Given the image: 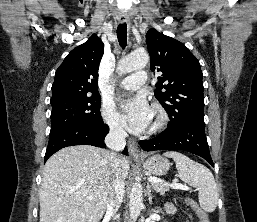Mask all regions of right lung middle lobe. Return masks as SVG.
I'll return each mask as SVG.
<instances>
[{"label":"right lung middle lobe","instance_id":"right-lung-middle-lobe-1","mask_svg":"<svg viewBox=\"0 0 257 222\" xmlns=\"http://www.w3.org/2000/svg\"><path fill=\"white\" fill-rule=\"evenodd\" d=\"M51 131L66 126L103 125L100 95L51 100Z\"/></svg>","mask_w":257,"mask_h":222}]
</instances>
